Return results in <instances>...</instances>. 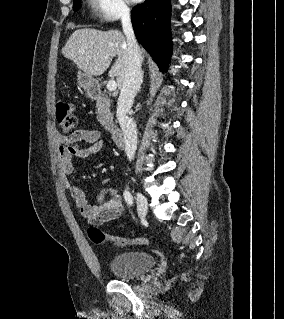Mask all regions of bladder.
I'll return each mask as SVG.
<instances>
[{"label": "bladder", "instance_id": "1", "mask_svg": "<svg viewBox=\"0 0 284 319\" xmlns=\"http://www.w3.org/2000/svg\"><path fill=\"white\" fill-rule=\"evenodd\" d=\"M155 257L146 251H125L112 257L108 262L110 272L120 279H132L155 265Z\"/></svg>", "mask_w": 284, "mask_h": 319}]
</instances>
